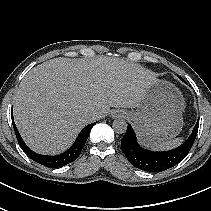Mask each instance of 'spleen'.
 Segmentation results:
<instances>
[{
  "instance_id": "1",
  "label": "spleen",
  "mask_w": 211,
  "mask_h": 211,
  "mask_svg": "<svg viewBox=\"0 0 211 211\" xmlns=\"http://www.w3.org/2000/svg\"><path fill=\"white\" fill-rule=\"evenodd\" d=\"M183 141V138H175L167 140L152 146L153 150H169L179 146Z\"/></svg>"
}]
</instances>
